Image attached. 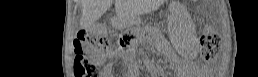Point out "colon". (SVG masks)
<instances>
[{"mask_svg": "<svg viewBox=\"0 0 258 77\" xmlns=\"http://www.w3.org/2000/svg\"><path fill=\"white\" fill-rule=\"evenodd\" d=\"M132 34L129 32L123 33L119 42L122 46L131 44ZM77 49L75 57V72L78 77L94 73L87 57L83 50H102L108 46V38L106 28L101 23H96L88 28L81 29L74 41ZM200 49L203 58L207 61L214 60L220 52V37L211 28L207 27L200 38Z\"/></svg>", "mask_w": 258, "mask_h": 77, "instance_id": "colon-1", "label": "colon"}]
</instances>
